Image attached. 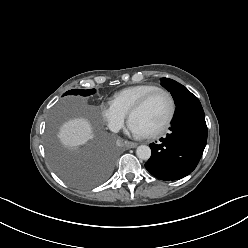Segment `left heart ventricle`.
I'll use <instances>...</instances> for the list:
<instances>
[{
  "label": "left heart ventricle",
  "instance_id": "obj_1",
  "mask_svg": "<svg viewBox=\"0 0 248 248\" xmlns=\"http://www.w3.org/2000/svg\"><path fill=\"white\" fill-rule=\"evenodd\" d=\"M169 113V102L163 94L155 95L143 108L136 111L131 121L148 134L158 129Z\"/></svg>",
  "mask_w": 248,
  "mask_h": 248
}]
</instances>
